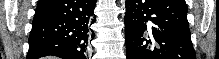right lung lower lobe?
<instances>
[{
  "label": "right lung lower lobe",
  "mask_w": 219,
  "mask_h": 59,
  "mask_svg": "<svg viewBox=\"0 0 219 59\" xmlns=\"http://www.w3.org/2000/svg\"><path fill=\"white\" fill-rule=\"evenodd\" d=\"M96 0H39L27 59L54 55L86 59L95 22Z\"/></svg>",
  "instance_id": "98d812e1"
}]
</instances>
